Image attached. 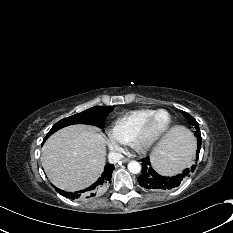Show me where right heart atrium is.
Listing matches in <instances>:
<instances>
[{
	"instance_id": "obj_1",
	"label": "right heart atrium",
	"mask_w": 233,
	"mask_h": 233,
	"mask_svg": "<svg viewBox=\"0 0 233 233\" xmlns=\"http://www.w3.org/2000/svg\"><path fill=\"white\" fill-rule=\"evenodd\" d=\"M108 146L109 148L114 151V152H118L120 151V147L118 146V144L114 141V140H108Z\"/></svg>"
}]
</instances>
